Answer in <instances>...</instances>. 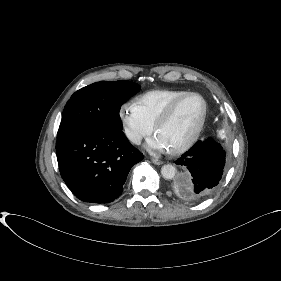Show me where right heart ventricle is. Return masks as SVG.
Returning <instances> with one entry per match:
<instances>
[{"label":"right heart ventricle","mask_w":281,"mask_h":281,"mask_svg":"<svg viewBox=\"0 0 281 281\" xmlns=\"http://www.w3.org/2000/svg\"><path fill=\"white\" fill-rule=\"evenodd\" d=\"M187 93L184 90L157 89L147 91L136 98V104L146 119L155 125L165 108L176 98Z\"/></svg>","instance_id":"e07e8e85"}]
</instances>
